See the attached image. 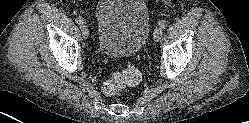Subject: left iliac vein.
Instances as JSON below:
<instances>
[{
	"label": "left iliac vein",
	"instance_id": "4c4485c4",
	"mask_svg": "<svg viewBox=\"0 0 249 123\" xmlns=\"http://www.w3.org/2000/svg\"><path fill=\"white\" fill-rule=\"evenodd\" d=\"M163 30L160 27H156L153 33L154 41L158 42L162 37Z\"/></svg>",
	"mask_w": 249,
	"mask_h": 123
}]
</instances>
